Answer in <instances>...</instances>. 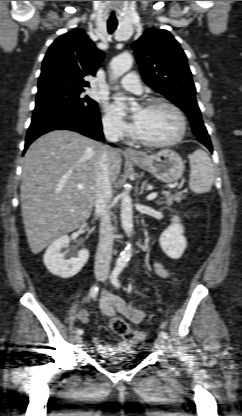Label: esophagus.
<instances>
[{"mask_svg":"<svg viewBox=\"0 0 242 416\" xmlns=\"http://www.w3.org/2000/svg\"><path fill=\"white\" fill-rule=\"evenodd\" d=\"M124 155L127 156V157H130V158H141L142 157V155L138 151H136L132 148H126L124 150Z\"/></svg>","mask_w":242,"mask_h":416,"instance_id":"esophagus-1","label":"esophagus"}]
</instances>
